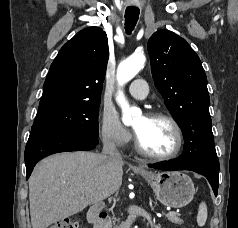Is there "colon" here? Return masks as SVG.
<instances>
[{
  "label": "colon",
  "instance_id": "obj_1",
  "mask_svg": "<svg viewBox=\"0 0 238 228\" xmlns=\"http://www.w3.org/2000/svg\"><path fill=\"white\" fill-rule=\"evenodd\" d=\"M48 228H80L76 219L66 218L52 223Z\"/></svg>",
  "mask_w": 238,
  "mask_h": 228
}]
</instances>
